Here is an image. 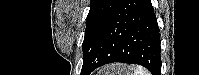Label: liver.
Segmentation results:
<instances>
[{
  "label": "liver",
  "mask_w": 199,
  "mask_h": 75,
  "mask_svg": "<svg viewBox=\"0 0 199 75\" xmlns=\"http://www.w3.org/2000/svg\"><path fill=\"white\" fill-rule=\"evenodd\" d=\"M109 68H112L111 70H114L113 66H110ZM108 70H110V69H108ZM107 73H108V72H106L105 74L107 75Z\"/></svg>",
  "instance_id": "1"
}]
</instances>
